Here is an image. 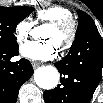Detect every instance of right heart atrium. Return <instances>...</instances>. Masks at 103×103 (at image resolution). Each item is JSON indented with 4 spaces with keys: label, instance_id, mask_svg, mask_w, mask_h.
I'll return each instance as SVG.
<instances>
[{
    "label": "right heart atrium",
    "instance_id": "d8ad5b80",
    "mask_svg": "<svg viewBox=\"0 0 103 103\" xmlns=\"http://www.w3.org/2000/svg\"><path fill=\"white\" fill-rule=\"evenodd\" d=\"M32 30V23L28 20L19 21L14 28V37L16 41L21 44L23 43L30 35Z\"/></svg>",
    "mask_w": 103,
    "mask_h": 103
}]
</instances>
